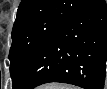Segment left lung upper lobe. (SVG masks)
I'll return each instance as SVG.
<instances>
[{
  "label": "left lung upper lobe",
  "instance_id": "left-lung-upper-lobe-1",
  "mask_svg": "<svg viewBox=\"0 0 107 89\" xmlns=\"http://www.w3.org/2000/svg\"><path fill=\"white\" fill-rule=\"evenodd\" d=\"M88 0H22L9 52L12 86L43 43Z\"/></svg>",
  "mask_w": 107,
  "mask_h": 89
}]
</instances>
